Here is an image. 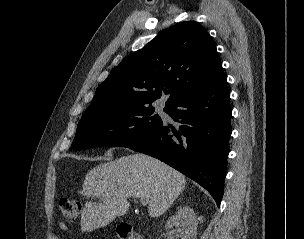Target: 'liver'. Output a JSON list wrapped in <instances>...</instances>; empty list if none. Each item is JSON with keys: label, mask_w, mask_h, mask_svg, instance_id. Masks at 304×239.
<instances>
[{"label": "liver", "mask_w": 304, "mask_h": 239, "mask_svg": "<svg viewBox=\"0 0 304 239\" xmlns=\"http://www.w3.org/2000/svg\"><path fill=\"white\" fill-rule=\"evenodd\" d=\"M183 174L144 154H131L94 167L85 177L82 195L100 198L87 201L81 214V228L91 232L123 216L129 198H145L148 213L158 217L166 212L184 190Z\"/></svg>", "instance_id": "6515ba94"}]
</instances>
